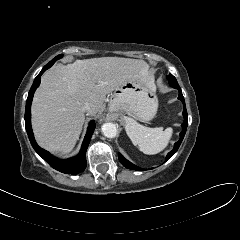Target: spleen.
Segmentation results:
<instances>
[{
    "label": "spleen",
    "mask_w": 240,
    "mask_h": 240,
    "mask_svg": "<svg viewBox=\"0 0 240 240\" xmlns=\"http://www.w3.org/2000/svg\"><path fill=\"white\" fill-rule=\"evenodd\" d=\"M126 133L133 145L137 146L144 154L154 155L164 150L172 136V128L145 127L132 118L126 119Z\"/></svg>",
    "instance_id": "spleen-1"
}]
</instances>
